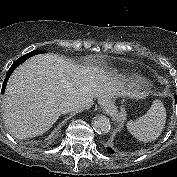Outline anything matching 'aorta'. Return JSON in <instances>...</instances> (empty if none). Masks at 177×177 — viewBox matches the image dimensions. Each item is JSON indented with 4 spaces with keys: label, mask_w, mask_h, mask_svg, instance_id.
<instances>
[{
    "label": "aorta",
    "mask_w": 177,
    "mask_h": 177,
    "mask_svg": "<svg viewBox=\"0 0 177 177\" xmlns=\"http://www.w3.org/2000/svg\"><path fill=\"white\" fill-rule=\"evenodd\" d=\"M93 129L98 134H107L111 129L110 121L105 116H96L92 122Z\"/></svg>",
    "instance_id": "1"
}]
</instances>
